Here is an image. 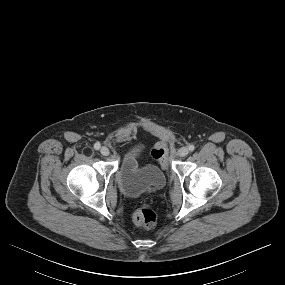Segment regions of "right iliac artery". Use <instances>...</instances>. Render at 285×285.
I'll return each instance as SVG.
<instances>
[{
    "mask_svg": "<svg viewBox=\"0 0 285 285\" xmlns=\"http://www.w3.org/2000/svg\"><path fill=\"white\" fill-rule=\"evenodd\" d=\"M94 149H95V150H99V149H100V143H98V142L95 143V144H94Z\"/></svg>",
    "mask_w": 285,
    "mask_h": 285,
    "instance_id": "82829eb1",
    "label": "right iliac artery"
}]
</instances>
